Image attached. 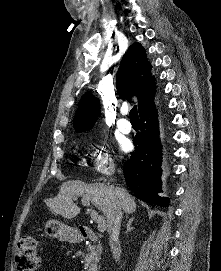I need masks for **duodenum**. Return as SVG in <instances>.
<instances>
[{
    "instance_id": "410a0bca",
    "label": "duodenum",
    "mask_w": 221,
    "mask_h": 271,
    "mask_svg": "<svg viewBox=\"0 0 221 271\" xmlns=\"http://www.w3.org/2000/svg\"><path fill=\"white\" fill-rule=\"evenodd\" d=\"M81 238L82 239H95V234L91 231H82L81 232ZM92 271H96L95 269H93Z\"/></svg>"
}]
</instances>
